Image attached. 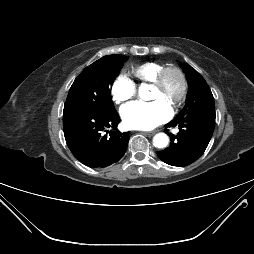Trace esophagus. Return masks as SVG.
Instances as JSON below:
<instances>
[{"label": "esophagus", "instance_id": "esophagus-1", "mask_svg": "<svg viewBox=\"0 0 254 254\" xmlns=\"http://www.w3.org/2000/svg\"><path fill=\"white\" fill-rule=\"evenodd\" d=\"M156 133V131H150V132H145L144 134L145 135H149V136H152Z\"/></svg>", "mask_w": 254, "mask_h": 254}]
</instances>
